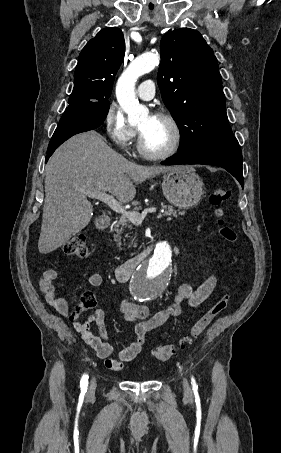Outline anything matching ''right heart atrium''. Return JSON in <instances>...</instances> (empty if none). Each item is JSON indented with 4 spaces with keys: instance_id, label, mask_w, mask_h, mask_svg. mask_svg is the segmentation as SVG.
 Masks as SVG:
<instances>
[{
    "instance_id": "1",
    "label": "right heart atrium",
    "mask_w": 281,
    "mask_h": 453,
    "mask_svg": "<svg viewBox=\"0 0 281 453\" xmlns=\"http://www.w3.org/2000/svg\"><path fill=\"white\" fill-rule=\"evenodd\" d=\"M123 95L126 96L128 86L123 87ZM103 122L108 135L119 148H127L132 144L137 136V130L132 126L124 114L115 107H109L103 116ZM111 169L116 174L124 172L123 157L118 153L112 154Z\"/></svg>"
}]
</instances>
